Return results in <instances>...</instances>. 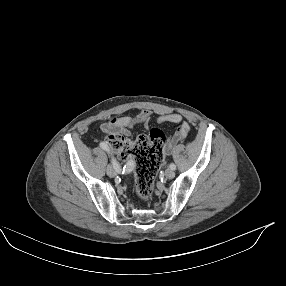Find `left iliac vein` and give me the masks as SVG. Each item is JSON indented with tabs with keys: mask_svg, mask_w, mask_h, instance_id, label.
Masks as SVG:
<instances>
[{
	"mask_svg": "<svg viewBox=\"0 0 286 286\" xmlns=\"http://www.w3.org/2000/svg\"><path fill=\"white\" fill-rule=\"evenodd\" d=\"M174 176H175V172H174L173 170L167 169V170L165 171V177H166V178L172 179V178H174Z\"/></svg>",
	"mask_w": 286,
	"mask_h": 286,
	"instance_id": "1",
	"label": "left iliac vein"
}]
</instances>
